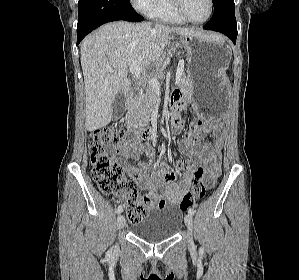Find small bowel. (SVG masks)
<instances>
[{"label":"small bowel","instance_id":"small-bowel-1","mask_svg":"<svg viewBox=\"0 0 299 280\" xmlns=\"http://www.w3.org/2000/svg\"><path fill=\"white\" fill-rule=\"evenodd\" d=\"M172 128L175 132H179L182 128L179 113L173 117ZM201 128L202 133H197L196 136H185L179 143L180 150L190 160V166L180 177L168 170L164 159L155 158L151 146L142 143L138 138L129 136L110 148L112 155H121L133 161H139L141 153L153 158V164L140 168L131 167L124 160L117 159L137 185L147 191L143 197L147 209L180 205L183 197L190 192L195 179V170L199 166L204 169V180L211 182L212 185L215 183L221 172L225 126L217 120H210L201 124ZM208 133L214 135L212 142H201Z\"/></svg>","mask_w":299,"mask_h":280}]
</instances>
